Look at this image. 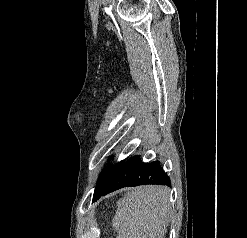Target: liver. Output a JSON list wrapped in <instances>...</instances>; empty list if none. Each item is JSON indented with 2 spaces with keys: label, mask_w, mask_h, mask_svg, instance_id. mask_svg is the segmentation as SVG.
Instances as JSON below:
<instances>
[{
  "label": "liver",
  "mask_w": 247,
  "mask_h": 238,
  "mask_svg": "<svg viewBox=\"0 0 247 238\" xmlns=\"http://www.w3.org/2000/svg\"><path fill=\"white\" fill-rule=\"evenodd\" d=\"M169 216V189L147 185L125 189L112 226L118 233L116 238H164Z\"/></svg>",
  "instance_id": "1"
}]
</instances>
